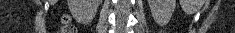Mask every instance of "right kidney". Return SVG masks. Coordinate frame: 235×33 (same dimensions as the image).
Segmentation results:
<instances>
[{"mask_svg": "<svg viewBox=\"0 0 235 33\" xmlns=\"http://www.w3.org/2000/svg\"><path fill=\"white\" fill-rule=\"evenodd\" d=\"M100 2V0H69L68 6L77 19L91 20L96 15Z\"/></svg>", "mask_w": 235, "mask_h": 33, "instance_id": "ca27d5eb", "label": "right kidney"}]
</instances>
